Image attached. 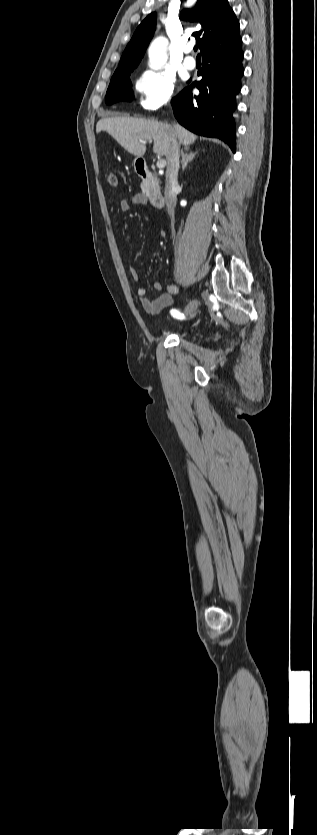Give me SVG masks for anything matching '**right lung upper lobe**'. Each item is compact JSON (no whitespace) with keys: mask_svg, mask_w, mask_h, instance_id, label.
Instances as JSON below:
<instances>
[{"mask_svg":"<svg viewBox=\"0 0 317 835\" xmlns=\"http://www.w3.org/2000/svg\"><path fill=\"white\" fill-rule=\"evenodd\" d=\"M156 18V13H151L137 27L116 71L134 70L137 67L154 34ZM181 18L188 21L189 27L200 28L192 36L197 39L201 53L214 43L239 35V21L228 0H197V5L191 11L181 12Z\"/></svg>","mask_w":317,"mask_h":835,"instance_id":"1","label":"right lung upper lobe"}]
</instances>
